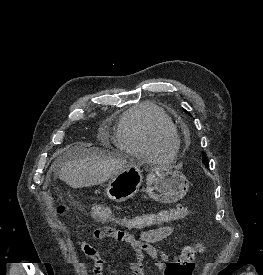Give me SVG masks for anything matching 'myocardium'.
Instances as JSON below:
<instances>
[{"label": "myocardium", "mask_w": 263, "mask_h": 275, "mask_svg": "<svg viewBox=\"0 0 263 275\" xmlns=\"http://www.w3.org/2000/svg\"><path fill=\"white\" fill-rule=\"evenodd\" d=\"M158 137H159V139H161V140H171L173 137H171L170 135H165L164 133H159L158 134Z\"/></svg>", "instance_id": "myocardium-1"}]
</instances>
